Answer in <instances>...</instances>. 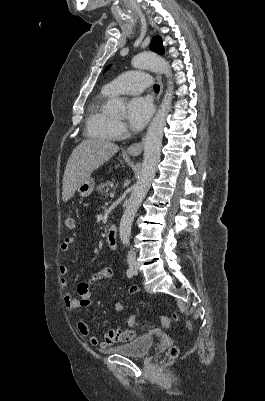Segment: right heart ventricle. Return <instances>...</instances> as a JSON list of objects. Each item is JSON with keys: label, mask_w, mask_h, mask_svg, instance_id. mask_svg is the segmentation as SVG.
I'll return each mask as SVG.
<instances>
[{"label": "right heart ventricle", "mask_w": 265, "mask_h": 401, "mask_svg": "<svg viewBox=\"0 0 265 401\" xmlns=\"http://www.w3.org/2000/svg\"><path fill=\"white\" fill-rule=\"evenodd\" d=\"M113 94L105 87L98 93L93 94L88 102L86 130L94 138L105 141L116 140L115 119L107 111V103Z\"/></svg>", "instance_id": "right-heart-ventricle-1"}]
</instances>
